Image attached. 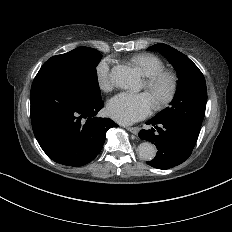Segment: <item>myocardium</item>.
Masks as SVG:
<instances>
[{
	"label": "myocardium",
	"mask_w": 232,
	"mask_h": 232,
	"mask_svg": "<svg viewBox=\"0 0 232 232\" xmlns=\"http://www.w3.org/2000/svg\"><path fill=\"white\" fill-rule=\"evenodd\" d=\"M145 90L157 96L158 109L167 106L175 97L178 89V77L171 71L163 70L144 81Z\"/></svg>",
	"instance_id": "1"
}]
</instances>
